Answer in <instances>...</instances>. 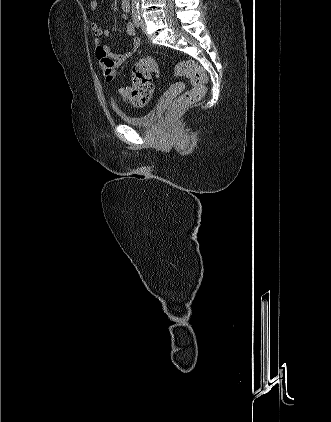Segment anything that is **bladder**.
I'll list each match as a JSON object with an SVG mask.
<instances>
[{
	"mask_svg": "<svg viewBox=\"0 0 331 422\" xmlns=\"http://www.w3.org/2000/svg\"><path fill=\"white\" fill-rule=\"evenodd\" d=\"M118 116L123 122L128 125L142 128H150L155 124L158 112L157 109H152L141 115H129L124 112H119Z\"/></svg>",
	"mask_w": 331,
	"mask_h": 422,
	"instance_id": "obj_1",
	"label": "bladder"
}]
</instances>
